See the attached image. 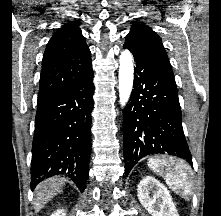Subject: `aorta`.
Returning <instances> with one entry per match:
<instances>
[{
	"label": "aorta",
	"instance_id": "obj_1",
	"mask_svg": "<svg viewBox=\"0 0 221 216\" xmlns=\"http://www.w3.org/2000/svg\"><path fill=\"white\" fill-rule=\"evenodd\" d=\"M133 59L130 51L124 50L119 57V102L121 107L126 106L133 87Z\"/></svg>",
	"mask_w": 221,
	"mask_h": 216
}]
</instances>
